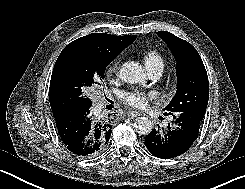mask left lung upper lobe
<instances>
[{"instance_id": "5c2ea615", "label": "left lung upper lobe", "mask_w": 245, "mask_h": 189, "mask_svg": "<svg viewBox=\"0 0 245 189\" xmlns=\"http://www.w3.org/2000/svg\"><path fill=\"white\" fill-rule=\"evenodd\" d=\"M171 49L177 63V91L164 110L191 113L203 119L209 99L207 72L196 49L167 31L157 32Z\"/></svg>"}]
</instances>
